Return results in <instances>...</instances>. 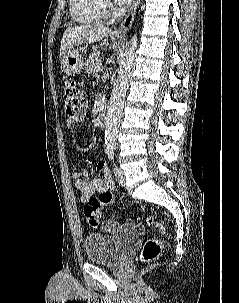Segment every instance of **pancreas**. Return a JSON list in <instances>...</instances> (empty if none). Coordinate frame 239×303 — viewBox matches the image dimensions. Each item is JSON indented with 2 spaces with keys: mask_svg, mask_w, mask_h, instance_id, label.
<instances>
[{
  "mask_svg": "<svg viewBox=\"0 0 239 303\" xmlns=\"http://www.w3.org/2000/svg\"><path fill=\"white\" fill-rule=\"evenodd\" d=\"M100 51H94L85 62V71L90 75H96L98 72L97 66L100 64Z\"/></svg>",
  "mask_w": 239,
  "mask_h": 303,
  "instance_id": "cf45deb5",
  "label": "pancreas"
}]
</instances>
